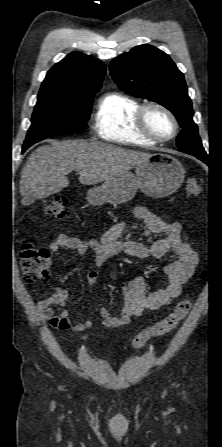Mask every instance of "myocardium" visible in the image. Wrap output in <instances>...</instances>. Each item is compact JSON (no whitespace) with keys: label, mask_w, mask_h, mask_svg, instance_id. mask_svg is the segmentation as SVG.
Listing matches in <instances>:
<instances>
[{"label":"myocardium","mask_w":222,"mask_h":447,"mask_svg":"<svg viewBox=\"0 0 222 447\" xmlns=\"http://www.w3.org/2000/svg\"><path fill=\"white\" fill-rule=\"evenodd\" d=\"M152 108L163 112L171 120V122L173 124V132L168 137H159L149 130V128L146 124V113L149 109H152ZM136 124H137L139 131L143 135L154 140L155 142H166V141L173 139L177 135L178 129H179V124H178L177 118L174 115V113L169 108L164 106L163 104L154 102V101H148V102H145L142 105H140V107L136 113Z\"/></svg>","instance_id":"myocardium-1"}]
</instances>
